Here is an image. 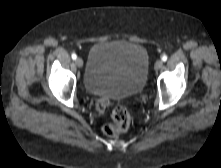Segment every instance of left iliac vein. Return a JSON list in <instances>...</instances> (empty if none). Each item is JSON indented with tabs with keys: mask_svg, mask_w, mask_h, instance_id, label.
I'll return each instance as SVG.
<instances>
[{
	"mask_svg": "<svg viewBox=\"0 0 221 168\" xmlns=\"http://www.w3.org/2000/svg\"><path fill=\"white\" fill-rule=\"evenodd\" d=\"M163 66V61L162 60H157L155 62V69L159 70Z\"/></svg>",
	"mask_w": 221,
	"mask_h": 168,
	"instance_id": "4c4485c4",
	"label": "left iliac vein"
}]
</instances>
